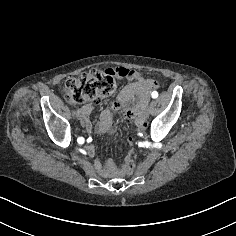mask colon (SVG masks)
Returning <instances> with one entry per match:
<instances>
[{
    "mask_svg": "<svg viewBox=\"0 0 236 236\" xmlns=\"http://www.w3.org/2000/svg\"><path fill=\"white\" fill-rule=\"evenodd\" d=\"M128 74L126 68H102L82 73L76 78H68L63 85L65 98L71 103H83L109 96L116 89V77H126ZM134 169L135 162L129 156L123 165V173L131 175Z\"/></svg>",
    "mask_w": 236,
    "mask_h": 236,
    "instance_id": "obj_1",
    "label": "colon"
}]
</instances>
